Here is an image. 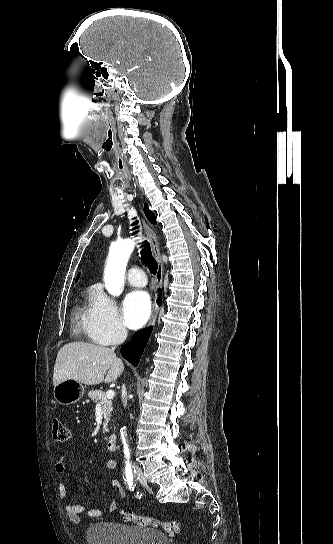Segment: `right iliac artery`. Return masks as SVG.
Instances as JSON below:
<instances>
[{
    "instance_id": "obj_1",
    "label": "right iliac artery",
    "mask_w": 333,
    "mask_h": 544,
    "mask_svg": "<svg viewBox=\"0 0 333 544\" xmlns=\"http://www.w3.org/2000/svg\"><path fill=\"white\" fill-rule=\"evenodd\" d=\"M125 475H126L125 481L127 482V486L129 490L134 491L135 484L133 482V472H132V467L130 464H127L125 467Z\"/></svg>"
}]
</instances>
